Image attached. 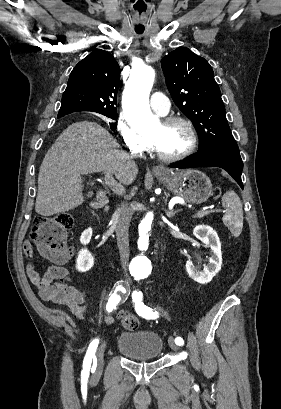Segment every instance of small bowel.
Instances as JSON below:
<instances>
[{
	"label": "small bowel",
	"mask_w": 281,
	"mask_h": 409,
	"mask_svg": "<svg viewBox=\"0 0 281 409\" xmlns=\"http://www.w3.org/2000/svg\"><path fill=\"white\" fill-rule=\"evenodd\" d=\"M23 249L28 258H31L34 246L26 241ZM46 257L49 255L42 251ZM29 279L37 287L40 297L44 301L54 302L64 307L73 316L83 319L96 312L95 308L88 304L94 295L72 285L74 278L68 268L60 265H51L41 276L32 263L26 266ZM106 323H111L110 317L105 318Z\"/></svg>",
	"instance_id": "small-bowel-1"
}]
</instances>
